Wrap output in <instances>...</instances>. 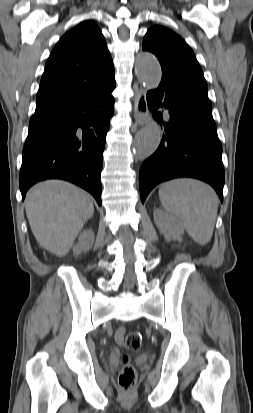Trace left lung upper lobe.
I'll return each instance as SVG.
<instances>
[{
    "label": "left lung upper lobe",
    "instance_id": "1",
    "mask_svg": "<svg viewBox=\"0 0 253 413\" xmlns=\"http://www.w3.org/2000/svg\"><path fill=\"white\" fill-rule=\"evenodd\" d=\"M142 49L154 53L162 68V81L196 91L208 98L202 69L187 43L163 26H153L146 33Z\"/></svg>",
    "mask_w": 253,
    "mask_h": 413
}]
</instances>
